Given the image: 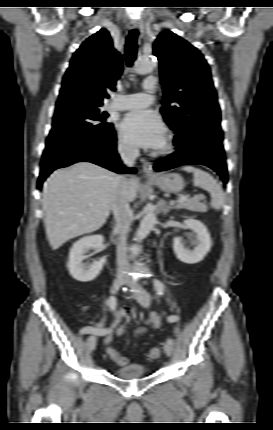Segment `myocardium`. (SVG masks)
I'll return each instance as SVG.
<instances>
[{
  "label": "myocardium",
  "instance_id": "f54148a6",
  "mask_svg": "<svg viewBox=\"0 0 273 430\" xmlns=\"http://www.w3.org/2000/svg\"><path fill=\"white\" fill-rule=\"evenodd\" d=\"M173 149H174V139L171 134H168L163 146L161 147L160 153L168 154V153H171Z\"/></svg>",
  "mask_w": 273,
  "mask_h": 430
}]
</instances>
